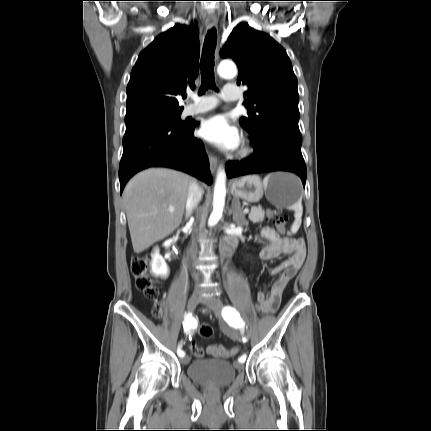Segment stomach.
Masks as SVG:
<instances>
[{
  "label": "stomach",
  "mask_w": 431,
  "mask_h": 431,
  "mask_svg": "<svg viewBox=\"0 0 431 431\" xmlns=\"http://www.w3.org/2000/svg\"><path fill=\"white\" fill-rule=\"evenodd\" d=\"M301 192L298 177L284 172L270 174L267 183H262L257 175H248L231 184V193L235 198L256 203L265 193L267 200L279 208H291L300 200Z\"/></svg>",
  "instance_id": "0dacf381"
}]
</instances>
